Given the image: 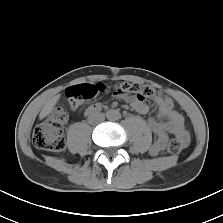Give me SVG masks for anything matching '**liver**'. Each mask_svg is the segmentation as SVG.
I'll list each match as a JSON object with an SVG mask.
<instances>
[{
	"label": "liver",
	"instance_id": "obj_1",
	"mask_svg": "<svg viewBox=\"0 0 223 223\" xmlns=\"http://www.w3.org/2000/svg\"><path fill=\"white\" fill-rule=\"evenodd\" d=\"M59 98H60V95H56L47 101V103L44 105V107L42 108V110L39 114L40 119L45 118L47 115H49L51 113L53 107L56 105Z\"/></svg>",
	"mask_w": 223,
	"mask_h": 223
}]
</instances>
